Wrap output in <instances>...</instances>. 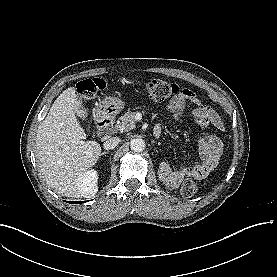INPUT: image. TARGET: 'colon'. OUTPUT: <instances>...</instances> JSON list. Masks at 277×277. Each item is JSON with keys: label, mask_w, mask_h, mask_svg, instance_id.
<instances>
[{"label": "colon", "mask_w": 277, "mask_h": 277, "mask_svg": "<svg viewBox=\"0 0 277 277\" xmlns=\"http://www.w3.org/2000/svg\"><path fill=\"white\" fill-rule=\"evenodd\" d=\"M106 88L105 81L101 79L95 80H84L78 85V100L80 102L91 100L95 97L98 91L104 90ZM146 90L149 97L153 100H164L170 96L177 95L181 92L178 85L163 81V80H150L146 84ZM209 167H213L212 160L208 161ZM197 191L195 182L192 179L186 180L180 189L183 197L189 198L193 196Z\"/></svg>", "instance_id": "colon-1"}]
</instances>
